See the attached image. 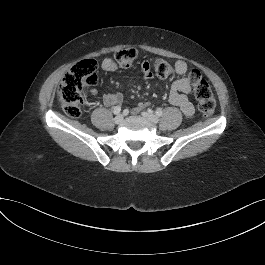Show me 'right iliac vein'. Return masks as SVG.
Here are the masks:
<instances>
[{
	"label": "right iliac vein",
	"instance_id": "right-iliac-vein-1",
	"mask_svg": "<svg viewBox=\"0 0 265 265\" xmlns=\"http://www.w3.org/2000/svg\"><path fill=\"white\" fill-rule=\"evenodd\" d=\"M123 121V116L121 114L117 115L114 119L116 124H120Z\"/></svg>",
	"mask_w": 265,
	"mask_h": 265
}]
</instances>
